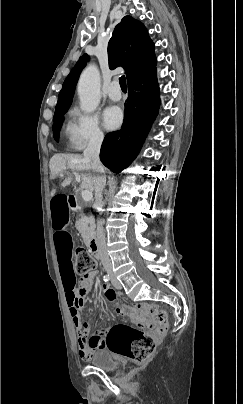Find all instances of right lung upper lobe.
I'll return each instance as SVG.
<instances>
[{
    "mask_svg": "<svg viewBox=\"0 0 243 404\" xmlns=\"http://www.w3.org/2000/svg\"><path fill=\"white\" fill-rule=\"evenodd\" d=\"M110 69L125 68L128 83L153 70L156 65L154 44L144 25L130 16L122 18L108 44ZM89 57L84 54L72 68L59 93L55 111L69 107L78 77Z\"/></svg>",
    "mask_w": 243,
    "mask_h": 404,
    "instance_id": "cb5924a9",
    "label": "right lung upper lobe"
}]
</instances>
